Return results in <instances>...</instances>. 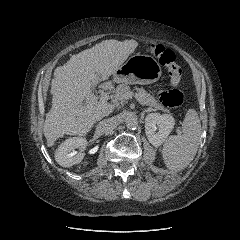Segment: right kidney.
<instances>
[{
    "mask_svg": "<svg viewBox=\"0 0 240 240\" xmlns=\"http://www.w3.org/2000/svg\"><path fill=\"white\" fill-rule=\"evenodd\" d=\"M88 142L82 137H72L66 139L57 148L55 152V160L62 167H70L79 164L85 153L83 152L87 148ZM79 149L80 152H76Z\"/></svg>",
    "mask_w": 240,
    "mask_h": 240,
    "instance_id": "obj_1",
    "label": "right kidney"
}]
</instances>
